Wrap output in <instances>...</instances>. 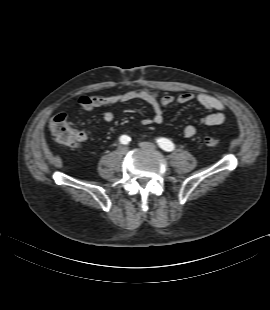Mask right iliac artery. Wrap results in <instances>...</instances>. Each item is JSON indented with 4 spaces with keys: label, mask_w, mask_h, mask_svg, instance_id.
Returning <instances> with one entry per match:
<instances>
[{
    "label": "right iliac artery",
    "mask_w": 270,
    "mask_h": 310,
    "mask_svg": "<svg viewBox=\"0 0 270 310\" xmlns=\"http://www.w3.org/2000/svg\"><path fill=\"white\" fill-rule=\"evenodd\" d=\"M130 137L129 136H127V135H122L121 137H120V142L122 143V144H128L129 142H130Z\"/></svg>",
    "instance_id": "82829eb1"
}]
</instances>
